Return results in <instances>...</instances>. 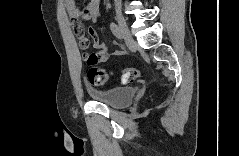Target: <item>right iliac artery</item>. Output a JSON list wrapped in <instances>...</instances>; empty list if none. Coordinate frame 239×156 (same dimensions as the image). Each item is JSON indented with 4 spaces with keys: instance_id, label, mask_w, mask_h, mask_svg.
I'll use <instances>...</instances> for the list:
<instances>
[{
    "instance_id": "right-iliac-artery-1",
    "label": "right iliac artery",
    "mask_w": 239,
    "mask_h": 156,
    "mask_svg": "<svg viewBox=\"0 0 239 156\" xmlns=\"http://www.w3.org/2000/svg\"><path fill=\"white\" fill-rule=\"evenodd\" d=\"M110 28H111L112 33H113L118 39L121 40V39L123 38L122 33H121V30H120V27H119L116 23H111Z\"/></svg>"
}]
</instances>
